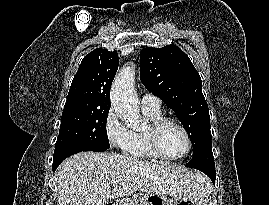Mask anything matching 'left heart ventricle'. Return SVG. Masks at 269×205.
I'll list each match as a JSON object with an SVG mask.
<instances>
[{
	"label": "left heart ventricle",
	"mask_w": 269,
	"mask_h": 205,
	"mask_svg": "<svg viewBox=\"0 0 269 205\" xmlns=\"http://www.w3.org/2000/svg\"><path fill=\"white\" fill-rule=\"evenodd\" d=\"M161 147L165 154L171 157H178L187 150V140L178 127L168 125L161 134Z\"/></svg>",
	"instance_id": "left-heart-ventricle-1"
}]
</instances>
